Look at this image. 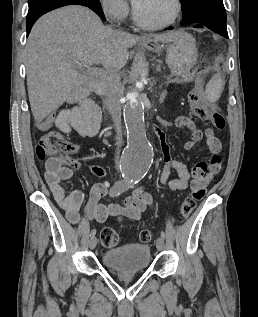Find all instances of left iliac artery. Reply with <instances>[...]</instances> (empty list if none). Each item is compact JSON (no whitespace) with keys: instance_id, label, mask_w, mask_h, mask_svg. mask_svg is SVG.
I'll list each match as a JSON object with an SVG mask.
<instances>
[{"instance_id":"1","label":"left iliac artery","mask_w":258,"mask_h":317,"mask_svg":"<svg viewBox=\"0 0 258 317\" xmlns=\"http://www.w3.org/2000/svg\"><path fill=\"white\" fill-rule=\"evenodd\" d=\"M140 180H141V177H133V178H132V182H133L134 184L138 183ZM160 234H161V237H162L163 239H165V232H164V231H161Z\"/></svg>"}]
</instances>
